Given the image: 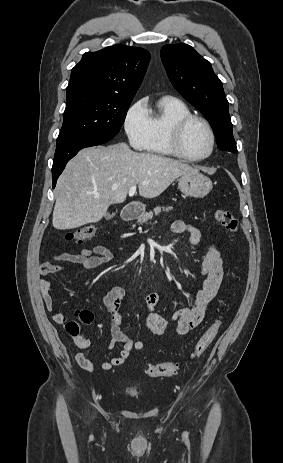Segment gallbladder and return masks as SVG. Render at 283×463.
<instances>
[{
	"label": "gallbladder",
	"mask_w": 283,
	"mask_h": 463,
	"mask_svg": "<svg viewBox=\"0 0 283 463\" xmlns=\"http://www.w3.org/2000/svg\"><path fill=\"white\" fill-rule=\"evenodd\" d=\"M105 217H106V218H110L111 215H110V214H106Z\"/></svg>",
	"instance_id": "1"
}]
</instances>
